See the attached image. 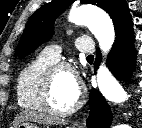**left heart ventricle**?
<instances>
[{
	"instance_id": "b2bd125f",
	"label": "left heart ventricle",
	"mask_w": 142,
	"mask_h": 128,
	"mask_svg": "<svg viewBox=\"0 0 142 128\" xmlns=\"http://www.w3.org/2000/svg\"><path fill=\"white\" fill-rule=\"evenodd\" d=\"M78 96V86L69 71H58L53 79L51 88V101L54 107L65 110L71 107Z\"/></svg>"
}]
</instances>
